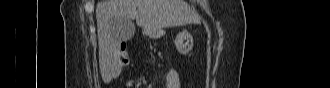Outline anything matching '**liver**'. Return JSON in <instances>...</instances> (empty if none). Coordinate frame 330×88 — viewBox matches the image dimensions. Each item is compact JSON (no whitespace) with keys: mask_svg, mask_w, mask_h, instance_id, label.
Instances as JSON below:
<instances>
[{"mask_svg":"<svg viewBox=\"0 0 330 88\" xmlns=\"http://www.w3.org/2000/svg\"><path fill=\"white\" fill-rule=\"evenodd\" d=\"M96 19L100 72L108 83L121 42L115 25L136 19L143 33L149 35L156 29L193 22L196 16L184 0H103L97 3Z\"/></svg>","mask_w":330,"mask_h":88,"instance_id":"liver-1","label":"liver"}]
</instances>
